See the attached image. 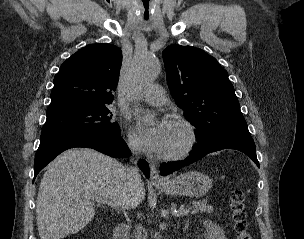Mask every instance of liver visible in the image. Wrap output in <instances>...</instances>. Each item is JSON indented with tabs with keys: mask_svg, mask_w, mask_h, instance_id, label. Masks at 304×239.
I'll return each instance as SVG.
<instances>
[{
	"mask_svg": "<svg viewBox=\"0 0 304 239\" xmlns=\"http://www.w3.org/2000/svg\"><path fill=\"white\" fill-rule=\"evenodd\" d=\"M126 167L95 150L63 152L52 161L40 182L36 220L41 239H61L82 230L95 215L94 198L113 209H130L145 197L142 180L130 187Z\"/></svg>",
	"mask_w": 304,
	"mask_h": 239,
	"instance_id": "1",
	"label": "liver"
}]
</instances>
